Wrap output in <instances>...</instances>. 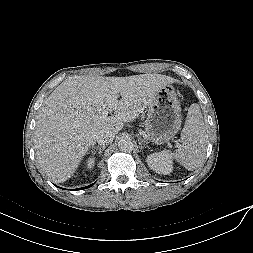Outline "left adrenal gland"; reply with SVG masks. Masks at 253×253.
<instances>
[{
  "label": "left adrenal gland",
  "mask_w": 253,
  "mask_h": 253,
  "mask_svg": "<svg viewBox=\"0 0 253 253\" xmlns=\"http://www.w3.org/2000/svg\"><path fill=\"white\" fill-rule=\"evenodd\" d=\"M138 139H139V144L141 145V149H143L145 147L146 143L141 137H139Z\"/></svg>",
  "instance_id": "obj_1"
}]
</instances>
